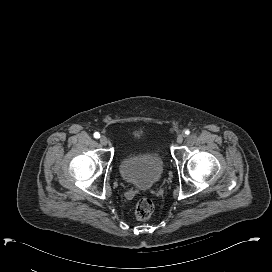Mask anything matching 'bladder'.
Masks as SVG:
<instances>
[{"label":"bladder","mask_w":272,"mask_h":272,"mask_svg":"<svg viewBox=\"0 0 272 272\" xmlns=\"http://www.w3.org/2000/svg\"><path fill=\"white\" fill-rule=\"evenodd\" d=\"M141 133L133 135L134 140H140ZM122 178L138 188L149 189L162 177L163 161L159 156L149 151L131 153L119 162Z\"/></svg>","instance_id":"31cf9c89"}]
</instances>
